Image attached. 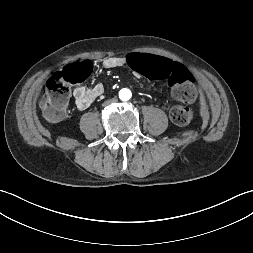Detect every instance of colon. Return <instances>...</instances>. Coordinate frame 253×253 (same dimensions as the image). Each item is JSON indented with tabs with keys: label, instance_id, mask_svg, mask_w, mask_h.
<instances>
[{
	"label": "colon",
	"instance_id": "1",
	"mask_svg": "<svg viewBox=\"0 0 253 253\" xmlns=\"http://www.w3.org/2000/svg\"><path fill=\"white\" fill-rule=\"evenodd\" d=\"M126 67L133 74L165 79L173 97L180 102L191 103L196 99L197 90L192 76L174 59L133 53L127 58ZM90 71L91 64L81 62L65 67L48 80L41 100L43 113L48 120L57 121L65 116L71 87L83 82ZM170 118L176 125L185 126L191 122L193 111L186 106H174L170 110Z\"/></svg>",
	"mask_w": 253,
	"mask_h": 253
}]
</instances>
